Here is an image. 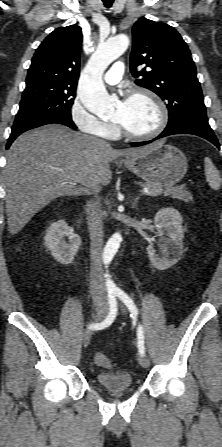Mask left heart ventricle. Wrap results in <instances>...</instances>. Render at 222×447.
Returning a JSON list of instances; mask_svg holds the SVG:
<instances>
[{
  "label": "left heart ventricle",
  "instance_id": "obj_1",
  "mask_svg": "<svg viewBox=\"0 0 222 447\" xmlns=\"http://www.w3.org/2000/svg\"><path fill=\"white\" fill-rule=\"evenodd\" d=\"M114 119L130 132L144 134L156 128L159 113L148 98L139 96L120 103L115 110Z\"/></svg>",
  "mask_w": 222,
  "mask_h": 447
}]
</instances>
